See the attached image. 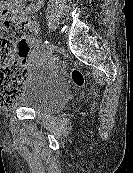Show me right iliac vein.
<instances>
[{"label": "right iliac vein", "mask_w": 133, "mask_h": 173, "mask_svg": "<svg viewBox=\"0 0 133 173\" xmlns=\"http://www.w3.org/2000/svg\"><path fill=\"white\" fill-rule=\"evenodd\" d=\"M54 48L55 46L54 45H50L48 51H47V55H46V58H45V61H47L53 54L54 52Z\"/></svg>", "instance_id": "obj_1"}]
</instances>
